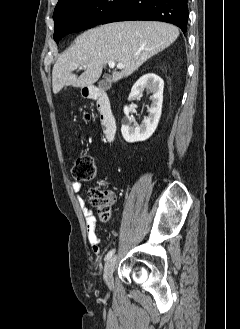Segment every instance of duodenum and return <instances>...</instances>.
Instances as JSON below:
<instances>
[{
  "instance_id": "obj_1",
  "label": "duodenum",
  "mask_w": 240,
  "mask_h": 329,
  "mask_svg": "<svg viewBox=\"0 0 240 329\" xmlns=\"http://www.w3.org/2000/svg\"><path fill=\"white\" fill-rule=\"evenodd\" d=\"M85 90L88 98L96 100L99 119L105 138L109 141L113 140L117 132V121L108 94L96 86H89Z\"/></svg>"
}]
</instances>
